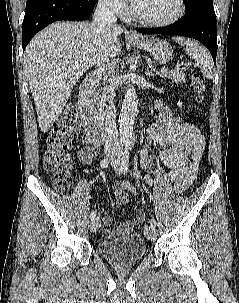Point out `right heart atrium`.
Segmentation results:
<instances>
[{
    "label": "right heart atrium",
    "mask_w": 239,
    "mask_h": 303,
    "mask_svg": "<svg viewBox=\"0 0 239 303\" xmlns=\"http://www.w3.org/2000/svg\"><path fill=\"white\" fill-rule=\"evenodd\" d=\"M100 5L107 11L118 16H124L128 7L124 0H98Z\"/></svg>",
    "instance_id": "d8ad5b80"
}]
</instances>
